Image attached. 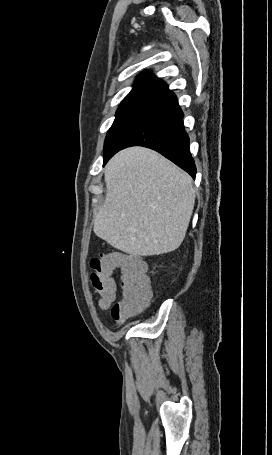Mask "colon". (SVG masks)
Here are the masks:
<instances>
[{
	"label": "colon",
	"instance_id": "colon-1",
	"mask_svg": "<svg viewBox=\"0 0 272 455\" xmlns=\"http://www.w3.org/2000/svg\"><path fill=\"white\" fill-rule=\"evenodd\" d=\"M91 282L99 295V305L106 309L115 300L118 287L121 299L113 303L111 316L117 322H124L140 313L152 297L145 263L136 256L119 250H109L90 262ZM119 273L120 283L115 277Z\"/></svg>",
	"mask_w": 272,
	"mask_h": 455
}]
</instances>
